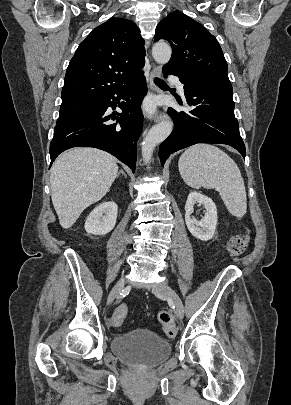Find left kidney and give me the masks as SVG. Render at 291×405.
Returning <instances> with one entry per match:
<instances>
[{"mask_svg": "<svg viewBox=\"0 0 291 405\" xmlns=\"http://www.w3.org/2000/svg\"><path fill=\"white\" fill-rule=\"evenodd\" d=\"M196 203L206 209L200 221L191 217ZM217 219V208L212 199L196 191L190 192L185 204V222L189 232L197 239L208 241L214 236Z\"/></svg>", "mask_w": 291, "mask_h": 405, "instance_id": "1", "label": "left kidney"}]
</instances>
